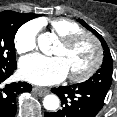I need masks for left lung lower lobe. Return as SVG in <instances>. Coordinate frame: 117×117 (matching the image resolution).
Segmentation results:
<instances>
[{
    "instance_id": "0a47b994",
    "label": "left lung lower lobe",
    "mask_w": 117,
    "mask_h": 117,
    "mask_svg": "<svg viewBox=\"0 0 117 117\" xmlns=\"http://www.w3.org/2000/svg\"><path fill=\"white\" fill-rule=\"evenodd\" d=\"M61 99L62 109L45 112L44 117H95L104 105L106 94L82 83L52 88Z\"/></svg>"
}]
</instances>
